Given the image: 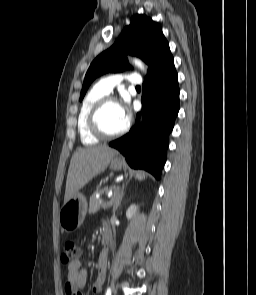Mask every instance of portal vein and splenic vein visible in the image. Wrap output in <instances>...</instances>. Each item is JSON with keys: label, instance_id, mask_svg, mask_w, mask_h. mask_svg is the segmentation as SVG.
Listing matches in <instances>:
<instances>
[{"label": "portal vein and splenic vein", "instance_id": "obj_1", "mask_svg": "<svg viewBox=\"0 0 256 295\" xmlns=\"http://www.w3.org/2000/svg\"><path fill=\"white\" fill-rule=\"evenodd\" d=\"M112 203H113V201L110 200L109 202H107V206H111Z\"/></svg>", "mask_w": 256, "mask_h": 295}]
</instances>
